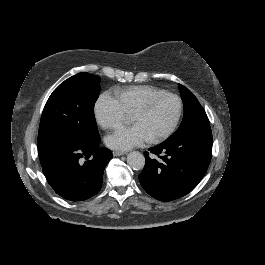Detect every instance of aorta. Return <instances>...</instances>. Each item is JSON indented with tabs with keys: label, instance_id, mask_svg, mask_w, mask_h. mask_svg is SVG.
<instances>
[{
	"label": "aorta",
	"instance_id": "obj_1",
	"mask_svg": "<svg viewBox=\"0 0 265 265\" xmlns=\"http://www.w3.org/2000/svg\"><path fill=\"white\" fill-rule=\"evenodd\" d=\"M127 164L134 170H141L145 164L144 155L138 151H131L127 154Z\"/></svg>",
	"mask_w": 265,
	"mask_h": 265
}]
</instances>
